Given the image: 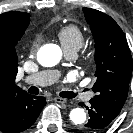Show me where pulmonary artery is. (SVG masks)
<instances>
[{
	"label": "pulmonary artery",
	"mask_w": 133,
	"mask_h": 133,
	"mask_svg": "<svg viewBox=\"0 0 133 133\" xmlns=\"http://www.w3.org/2000/svg\"><path fill=\"white\" fill-rule=\"evenodd\" d=\"M75 52H67L66 56L69 59H73L75 57ZM60 72L58 70H44L41 72H38L36 74H33L31 76H28L24 79L25 84H33L37 86H46L53 84L60 78ZM93 94L88 93L84 94L83 97L86 101H89L92 98Z\"/></svg>",
	"instance_id": "pulmonary-artery-1"
}]
</instances>
